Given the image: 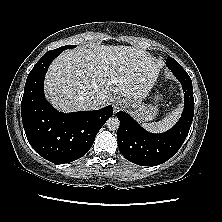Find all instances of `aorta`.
<instances>
[{"label": "aorta", "mask_w": 222, "mask_h": 222, "mask_svg": "<svg viewBox=\"0 0 222 222\" xmlns=\"http://www.w3.org/2000/svg\"><path fill=\"white\" fill-rule=\"evenodd\" d=\"M106 125L109 130L114 131V130H118V128L120 126V122H119L118 118L111 117L107 120Z\"/></svg>", "instance_id": "obj_1"}]
</instances>
